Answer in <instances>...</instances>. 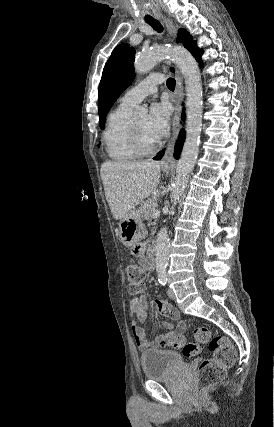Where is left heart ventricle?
I'll use <instances>...</instances> for the list:
<instances>
[{"label": "left heart ventricle", "instance_id": "left-heart-ventricle-1", "mask_svg": "<svg viewBox=\"0 0 274 427\" xmlns=\"http://www.w3.org/2000/svg\"><path fill=\"white\" fill-rule=\"evenodd\" d=\"M147 122V114L141 115L135 120L142 144L144 145V147H151L158 143L159 139H156L150 135L147 129Z\"/></svg>", "mask_w": 274, "mask_h": 427}]
</instances>
